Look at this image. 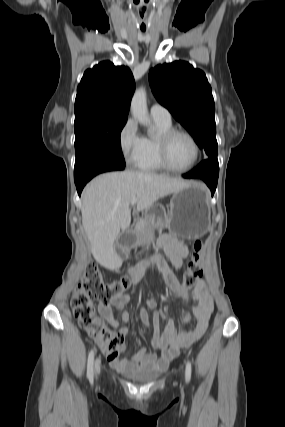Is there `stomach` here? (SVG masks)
<instances>
[{
	"label": "stomach",
	"instance_id": "obj_1",
	"mask_svg": "<svg viewBox=\"0 0 285 427\" xmlns=\"http://www.w3.org/2000/svg\"><path fill=\"white\" fill-rule=\"evenodd\" d=\"M210 200L204 184L191 182L186 188L173 194L167 213L162 206L154 205L146 210V214L154 222V227L166 226L175 236L196 239L206 234L210 228ZM151 239L152 230H149L130 244H149Z\"/></svg>",
	"mask_w": 285,
	"mask_h": 427
}]
</instances>
